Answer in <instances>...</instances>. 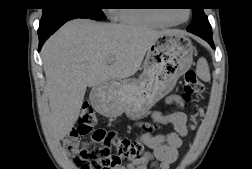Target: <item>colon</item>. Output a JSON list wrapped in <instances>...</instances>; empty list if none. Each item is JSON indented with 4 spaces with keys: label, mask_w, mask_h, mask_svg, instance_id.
<instances>
[{
    "label": "colon",
    "mask_w": 252,
    "mask_h": 169,
    "mask_svg": "<svg viewBox=\"0 0 252 169\" xmlns=\"http://www.w3.org/2000/svg\"><path fill=\"white\" fill-rule=\"evenodd\" d=\"M203 84L197 78L194 69L184 73L182 99L189 102L193 95L202 93ZM97 123V117L89 104L82 107L78 126L66 137L68 153L77 169H115L122 160H140L144 155V146L139 140L130 139L115 130L99 129L93 133L98 146H93L81 138L89 134ZM155 126L145 123L143 129L151 132ZM112 149L115 152H112Z\"/></svg>",
    "instance_id": "5ec220e1"
}]
</instances>
